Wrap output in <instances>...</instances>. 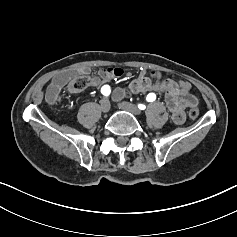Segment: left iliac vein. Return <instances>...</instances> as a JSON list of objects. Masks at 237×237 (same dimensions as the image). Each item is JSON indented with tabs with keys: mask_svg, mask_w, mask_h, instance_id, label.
<instances>
[{
	"mask_svg": "<svg viewBox=\"0 0 237 237\" xmlns=\"http://www.w3.org/2000/svg\"><path fill=\"white\" fill-rule=\"evenodd\" d=\"M120 110L123 111H127L130 112L134 115H140L141 114V110L139 108H137L136 106L132 105L131 103L128 102H121L118 105Z\"/></svg>",
	"mask_w": 237,
	"mask_h": 237,
	"instance_id": "left-iliac-vein-1",
	"label": "left iliac vein"
}]
</instances>
